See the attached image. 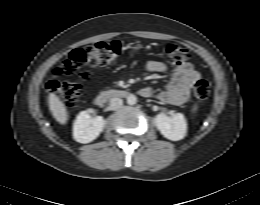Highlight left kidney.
<instances>
[{"label": "left kidney", "instance_id": "5707ae66", "mask_svg": "<svg viewBox=\"0 0 260 205\" xmlns=\"http://www.w3.org/2000/svg\"><path fill=\"white\" fill-rule=\"evenodd\" d=\"M154 123L160 133L169 140L179 141L186 136L187 123L181 113H175L171 117L160 113L154 118Z\"/></svg>", "mask_w": 260, "mask_h": 205}]
</instances>
